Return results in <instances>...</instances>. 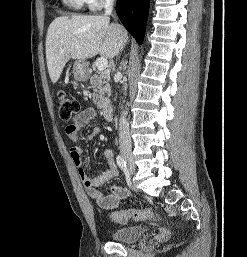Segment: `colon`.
I'll return each mask as SVG.
<instances>
[{"mask_svg":"<svg viewBox=\"0 0 247 257\" xmlns=\"http://www.w3.org/2000/svg\"><path fill=\"white\" fill-rule=\"evenodd\" d=\"M56 102L59 110V116L63 121H71L77 114L80 113L79 101L70 94L59 91L56 96ZM153 217V212L150 209H126L114 211L111 214V219L117 223H127L130 220L141 221Z\"/></svg>","mask_w":247,"mask_h":257,"instance_id":"1","label":"colon"}]
</instances>
